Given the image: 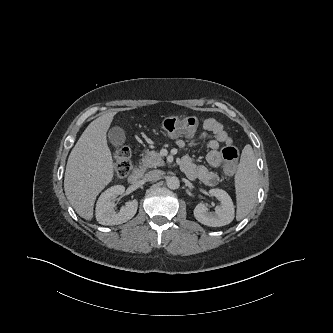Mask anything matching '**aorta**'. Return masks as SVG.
<instances>
[{
  "instance_id": "obj_1",
  "label": "aorta",
  "mask_w": 333,
  "mask_h": 333,
  "mask_svg": "<svg viewBox=\"0 0 333 333\" xmlns=\"http://www.w3.org/2000/svg\"><path fill=\"white\" fill-rule=\"evenodd\" d=\"M167 186L169 189H177L180 185V181L177 177L173 176V177H169L166 181Z\"/></svg>"
}]
</instances>
